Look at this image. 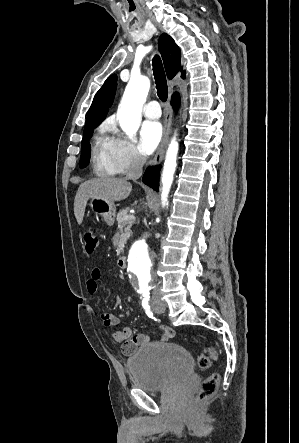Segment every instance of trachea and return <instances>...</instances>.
Wrapping results in <instances>:
<instances>
[{"instance_id": "3493384b", "label": "trachea", "mask_w": 299, "mask_h": 443, "mask_svg": "<svg viewBox=\"0 0 299 443\" xmlns=\"http://www.w3.org/2000/svg\"><path fill=\"white\" fill-rule=\"evenodd\" d=\"M153 74L158 97L165 102L168 97V86L161 58L156 55L152 60Z\"/></svg>"}]
</instances>
